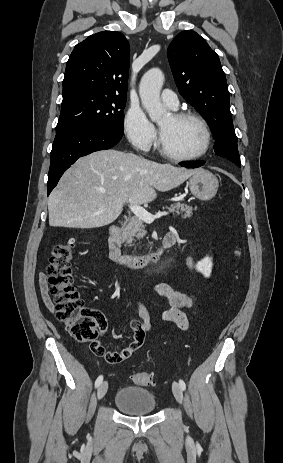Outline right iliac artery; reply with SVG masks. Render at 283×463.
Here are the masks:
<instances>
[{"label":"right iliac artery","mask_w":283,"mask_h":463,"mask_svg":"<svg viewBox=\"0 0 283 463\" xmlns=\"http://www.w3.org/2000/svg\"><path fill=\"white\" fill-rule=\"evenodd\" d=\"M103 381V376L100 375L95 381V387H98Z\"/></svg>","instance_id":"82829eb1"}]
</instances>
